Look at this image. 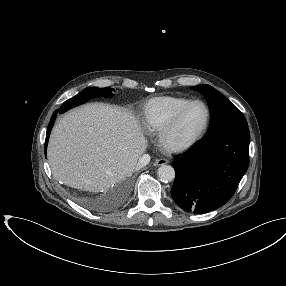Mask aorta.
<instances>
[{
  "instance_id": "762f6f07",
  "label": "aorta",
  "mask_w": 286,
  "mask_h": 286,
  "mask_svg": "<svg viewBox=\"0 0 286 286\" xmlns=\"http://www.w3.org/2000/svg\"><path fill=\"white\" fill-rule=\"evenodd\" d=\"M158 177L163 182H170L175 178V170L170 165H162L157 171Z\"/></svg>"
}]
</instances>
